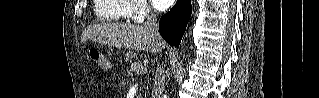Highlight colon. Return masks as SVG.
<instances>
[{"label": "colon", "instance_id": "colon-1", "mask_svg": "<svg viewBox=\"0 0 319 98\" xmlns=\"http://www.w3.org/2000/svg\"><path fill=\"white\" fill-rule=\"evenodd\" d=\"M90 57L92 61L101 69H105L108 66V62L106 58L99 52L96 48L90 49Z\"/></svg>", "mask_w": 319, "mask_h": 98}]
</instances>
